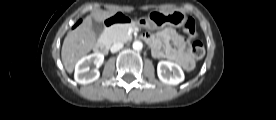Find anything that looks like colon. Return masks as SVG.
Returning a JSON list of instances; mask_svg holds the SVG:
<instances>
[{
    "mask_svg": "<svg viewBox=\"0 0 276 120\" xmlns=\"http://www.w3.org/2000/svg\"><path fill=\"white\" fill-rule=\"evenodd\" d=\"M117 14L132 16L130 14H125L121 11H114L112 13L106 14L104 19L112 18ZM86 24H87V18L85 16H80L78 20H76L75 22H70L68 24V29L70 31H75L76 29H81ZM109 28H113V27H109ZM184 33L186 37L190 41H192L190 52L193 58H195L196 60L202 59L205 55V46L200 40L197 39V30H196L195 22L191 18L186 19L184 23Z\"/></svg>",
    "mask_w": 276,
    "mask_h": 120,
    "instance_id": "obj_1",
    "label": "colon"
}]
</instances>
